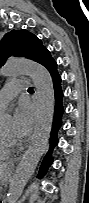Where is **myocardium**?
<instances>
[{"label": "myocardium", "mask_w": 89, "mask_h": 203, "mask_svg": "<svg viewBox=\"0 0 89 203\" xmlns=\"http://www.w3.org/2000/svg\"><path fill=\"white\" fill-rule=\"evenodd\" d=\"M2 137L4 139V142H5L6 146H7V148L10 151H13L17 147V143H16L14 138H7L3 134H2Z\"/></svg>", "instance_id": "myocardium-1"}]
</instances>
